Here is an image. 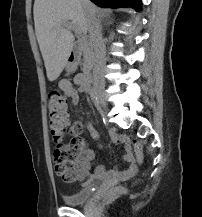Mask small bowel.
Listing matches in <instances>:
<instances>
[{"mask_svg": "<svg viewBox=\"0 0 202 217\" xmlns=\"http://www.w3.org/2000/svg\"><path fill=\"white\" fill-rule=\"evenodd\" d=\"M82 74H78L74 77V83L78 85L76 89L73 84L68 80H61L58 83V87L71 99V103L76 106L79 102V92L84 91L82 86ZM68 128L71 134L79 135L82 131V123L79 121L69 123ZM87 129L89 130L92 138L98 140L99 135L94 129L91 123L87 124ZM111 140L114 144H123L125 147V153L123 155V161L127 164L122 170H111L108 171L102 165L95 166V173L99 176L112 177L118 180H127L134 177L138 172V164L142 162L143 154L139 145L135 147V153L132 152L130 139L126 136H121L118 134H112ZM101 147V144L99 145ZM81 168L82 175L87 176L90 174V170L94 164V152L91 149L84 150L81 155Z\"/></svg>", "mask_w": 202, "mask_h": 217, "instance_id": "obj_1", "label": "small bowel"}]
</instances>
